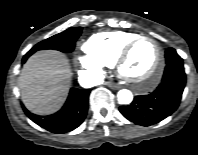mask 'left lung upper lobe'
Here are the masks:
<instances>
[{
    "label": "left lung upper lobe",
    "mask_w": 198,
    "mask_h": 155,
    "mask_svg": "<svg viewBox=\"0 0 198 155\" xmlns=\"http://www.w3.org/2000/svg\"><path fill=\"white\" fill-rule=\"evenodd\" d=\"M165 58L167 65L173 62L183 63L182 58L176 53L173 48H169L166 50Z\"/></svg>",
    "instance_id": "left-lung-upper-lobe-1"
}]
</instances>
